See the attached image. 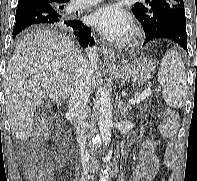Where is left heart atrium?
Masks as SVG:
<instances>
[{
    "mask_svg": "<svg viewBox=\"0 0 197 181\" xmlns=\"http://www.w3.org/2000/svg\"><path fill=\"white\" fill-rule=\"evenodd\" d=\"M90 20L100 32L111 39L124 40L131 32L129 15L115 4L99 8Z\"/></svg>",
    "mask_w": 197,
    "mask_h": 181,
    "instance_id": "39dd6f15",
    "label": "left heart atrium"
}]
</instances>
